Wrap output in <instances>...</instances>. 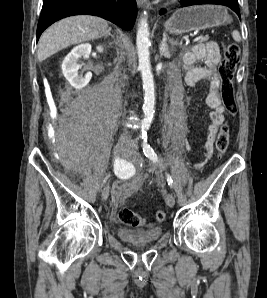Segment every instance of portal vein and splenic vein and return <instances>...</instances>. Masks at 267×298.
<instances>
[{
	"label": "portal vein and splenic vein",
	"instance_id": "portal-vein-and-splenic-vein-1",
	"mask_svg": "<svg viewBox=\"0 0 267 298\" xmlns=\"http://www.w3.org/2000/svg\"><path fill=\"white\" fill-rule=\"evenodd\" d=\"M199 40V37L198 38H196V39H194V41H198Z\"/></svg>",
	"mask_w": 267,
	"mask_h": 298
}]
</instances>
